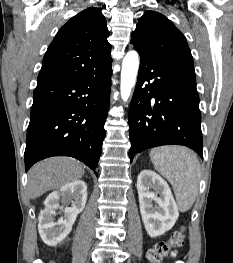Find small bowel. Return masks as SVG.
Returning <instances> with one entry per match:
<instances>
[{"mask_svg":"<svg viewBox=\"0 0 233 263\" xmlns=\"http://www.w3.org/2000/svg\"><path fill=\"white\" fill-rule=\"evenodd\" d=\"M176 256V252L171 253V257Z\"/></svg>","mask_w":233,"mask_h":263,"instance_id":"1","label":"small bowel"}]
</instances>
